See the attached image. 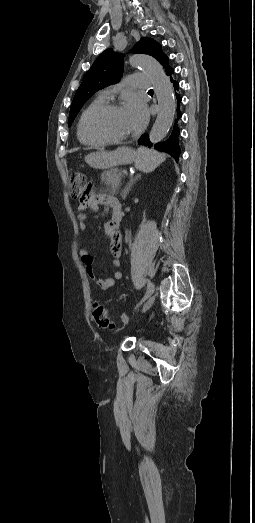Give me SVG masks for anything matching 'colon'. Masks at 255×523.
Instances as JSON below:
<instances>
[{
  "label": "colon",
  "instance_id": "1",
  "mask_svg": "<svg viewBox=\"0 0 255 523\" xmlns=\"http://www.w3.org/2000/svg\"><path fill=\"white\" fill-rule=\"evenodd\" d=\"M70 194L73 199L85 200L89 196L85 175L75 172L70 177ZM93 317L96 324L103 329L114 327L111 315L106 307L97 304L94 306Z\"/></svg>",
  "mask_w": 255,
  "mask_h": 523
}]
</instances>
